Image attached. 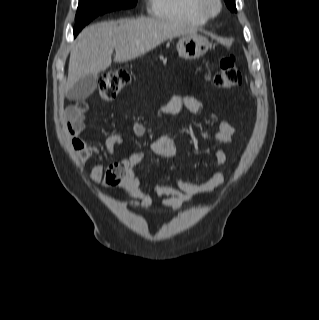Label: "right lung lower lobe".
<instances>
[{
	"label": "right lung lower lobe",
	"instance_id": "obj_1",
	"mask_svg": "<svg viewBox=\"0 0 319 320\" xmlns=\"http://www.w3.org/2000/svg\"><path fill=\"white\" fill-rule=\"evenodd\" d=\"M77 34H78V33H75V32H74V35H75V36H76Z\"/></svg>",
	"mask_w": 319,
	"mask_h": 320
}]
</instances>
